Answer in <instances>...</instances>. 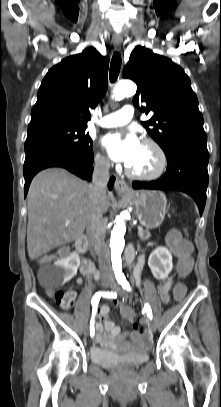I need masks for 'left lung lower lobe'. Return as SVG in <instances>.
<instances>
[{
	"label": "left lung lower lobe",
	"mask_w": 221,
	"mask_h": 407,
	"mask_svg": "<svg viewBox=\"0 0 221 407\" xmlns=\"http://www.w3.org/2000/svg\"><path fill=\"white\" fill-rule=\"evenodd\" d=\"M168 166L165 174L150 182L134 181V189L178 190L190 195L202 215L208 186L207 137L203 134H184L176 138L165 152Z\"/></svg>",
	"instance_id": "left-lung-lower-lobe-1"
}]
</instances>
